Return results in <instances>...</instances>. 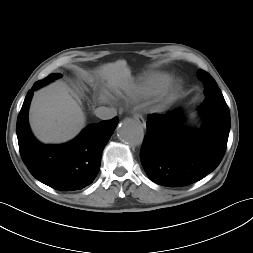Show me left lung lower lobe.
I'll return each mask as SVG.
<instances>
[{
  "instance_id": "obj_1",
  "label": "left lung lower lobe",
  "mask_w": 253,
  "mask_h": 253,
  "mask_svg": "<svg viewBox=\"0 0 253 253\" xmlns=\"http://www.w3.org/2000/svg\"><path fill=\"white\" fill-rule=\"evenodd\" d=\"M203 128L184 133L176 111L147 118V134L140 159L148 177L167 187L195 183L221 162L230 131V113L224 98L207 97L200 106Z\"/></svg>"
}]
</instances>
